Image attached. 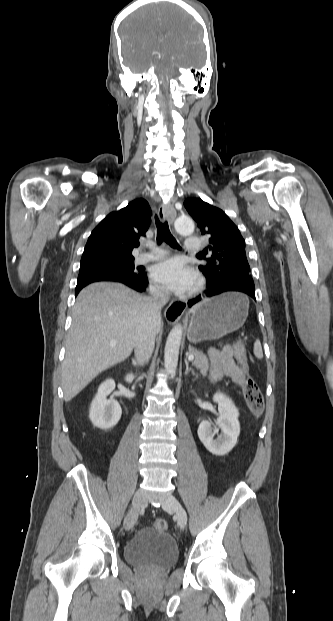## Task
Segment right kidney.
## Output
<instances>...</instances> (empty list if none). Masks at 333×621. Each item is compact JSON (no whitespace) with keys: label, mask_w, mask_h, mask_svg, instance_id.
<instances>
[{"label":"right kidney","mask_w":333,"mask_h":621,"mask_svg":"<svg viewBox=\"0 0 333 621\" xmlns=\"http://www.w3.org/2000/svg\"><path fill=\"white\" fill-rule=\"evenodd\" d=\"M125 379L127 382H131L133 375L129 374ZM114 389L115 382L112 379L106 380L99 386L89 411V418L95 427L108 430L114 427L120 420L122 409L119 403L114 399H107V396Z\"/></svg>","instance_id":"right-kidney-1"}]
</instances>
